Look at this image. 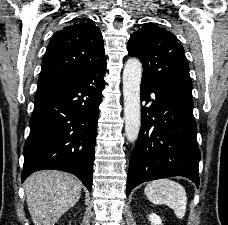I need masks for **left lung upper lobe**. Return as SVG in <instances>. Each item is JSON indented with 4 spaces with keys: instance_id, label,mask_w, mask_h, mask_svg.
<instances>
[{
    "instance_id": "obj_1",
    "label": "left lung upper lobe",
    "mask_w": 228,
    "mask_h": 225,
    "mask_svg": "<svg viewBox=\"0 0 228 225\" xmlns=\"http://www.w3.org/2000/svg\"><path fill=\"white\" fill-rule=\"evenodd\" d=\"M129 56L143 64L142 80L153 86L192 96L189 65L174 34L153 23L142 24L128 41Z\"/></svg>"
}]
</instances>
